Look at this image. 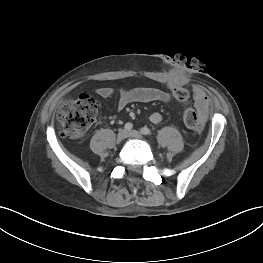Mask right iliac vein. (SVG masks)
Masks as SVG:
<instances>
[{"mask_svg": "<svg viewBox=\"0 0 263 263\" xmlns=\"http://www.w3.org/2000/svg\"><path fill=\"white\" fill-rule=\"evenodd\" d=\"M128 135V132L126 131V129H120L118 134H117V140L123 141Z\"/></svg>", "mask_w": 263, "mask_h": 263, "instance_id": "1", "label": "right iliac vein"}]
</instances>
